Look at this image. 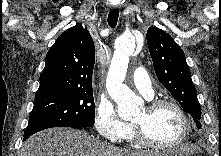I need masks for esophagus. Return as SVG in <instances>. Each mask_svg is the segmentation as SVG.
Segmentation results:
<instances>
[{"label": "esophagus", "instance_id": "1", "mask_svg": "<svg viewBox=\"0 0 221 156\" xmlns=\"http://www.w3.org/2000/svg\"><path fill=\"white\" fill-rule=\"evenodd\" d=\"M111 8H112V9H118L119 6H118V5H112Z\"/></svg>", "mask_w": 221, "mask_h": 156}]
</instances>
